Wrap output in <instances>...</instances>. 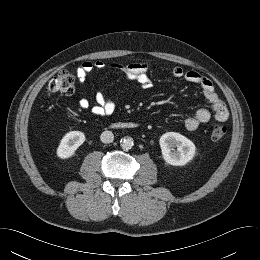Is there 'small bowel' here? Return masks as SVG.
Here are the masks:
<instances>
[{"mask_svg": "<svg viewBox=\"0 0 260 260\" xmlns=\"http://www.w3.org/2000/svg\"><path fill=\"white\" fill-rule=\"evenodd\" d=\"M152 63L149 61L141 62H128L119 63L114 62L110 64V67L120 72L137 82L141 89H149L151 87V80L149 77V72ZM106 64L103 61H84L80 64L76 70L75 74L80 83H84L87 75L93 70H103ZM171 73L175 78L184 79L185 81L198 85L201 87L205 97L211 103L212 114L208 109L200 108L196 110L191 116L187 117L185 120V126L189 131H195L199 128L201 124L207 123L211 116L220 122L226 121L229 117V112L225 102L219 97L212 82L205 76L199 74L196 71L184 70L180 66H174L171 68ZM95 104L90 106L87 99H81L79 101V107L82 110L90 109L92 114L96 117H107L110 116L115 110V102L106 97L103 93H98L96 95Z\"/></svg>", "mask_w": 260, "mask_h": 260, "instance_id": "1", "label": "small bowel"}]
</instances>
